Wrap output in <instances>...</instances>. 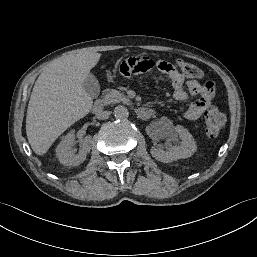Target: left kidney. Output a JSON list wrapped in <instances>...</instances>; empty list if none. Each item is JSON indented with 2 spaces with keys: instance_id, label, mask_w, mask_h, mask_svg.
Wrapping results in <instances>:
<instances>
[{
  "instance_id": "left-kidney-1",
  "label": "left kidney",
  "mask_w": 257,
  "mask_h": 257,
  "mask_svg": "<svg viewBox=\"0 0 257 257\" xmlns=\"http://www.w3.org/2000/svg\"><path fill=\"white\" fill-rule=\"evenodd\" d=\"M181 139L178 146H168L166 150L163 147L152 148L151 155L158 161L169 163L178 159H184L192 156L197 150L196 142L190 132L181 125H168L167 129L160 132L158 137L160 139L167 138L171 141L175 136Z\"/></svg>"
}]
</instances>
